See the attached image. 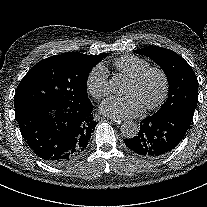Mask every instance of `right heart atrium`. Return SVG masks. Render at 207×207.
I'll return each mask as SVG.
<instances>
[{
    "label": "right heart atrium",
    "mask_w": 207,
    "mask_h": 207,
    "mask_svg": "<svg viewBox=\"0 0 207 207\" xmlns=\"http://www.w3.org/2000/svg\"><path fill=\"white\" fill-rule=\"evenodd\" d=\"M86 86L88 92L95 99H103L110 94V80L107 69L103 64L94 66L86 79Z\"/></svg>",
    "instance_id": "right-heart-atrium-1"
}]
</instances>
